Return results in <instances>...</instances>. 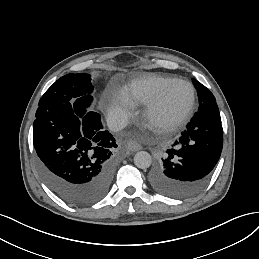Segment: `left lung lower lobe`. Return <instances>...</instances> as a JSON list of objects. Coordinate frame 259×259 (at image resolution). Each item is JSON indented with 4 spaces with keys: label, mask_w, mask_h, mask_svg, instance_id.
<instances>
[{
    "label": "left lung lower lobe",
    "mask_w": 259,
    "mask_h": 259,
    "mask_svg": "<svg viewBox=\"0 0 259 259\" xmlns=\"http://www.w3.org/2000/svg\"><path fill=\"white\" fill-rule=\"evenodd\" d=\"M163 163L149 175L151 188L171 198L201 191L218 162L223 147L221 117L215 100L202 103Z\"/></svg>",
    "instance_id": "left-lung-lower-lobe-1"
}]
</instances>
